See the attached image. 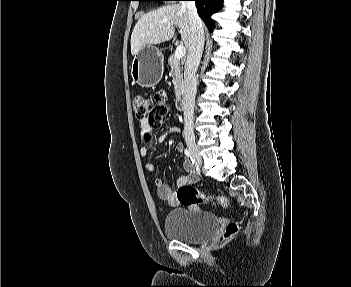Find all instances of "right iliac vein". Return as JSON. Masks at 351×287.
Returning <instances> with one entry per match:
<instances>
[{"mask_svg":"<svg viewBox=\"0 0 351 287\" xmlns=\"http://www.w3.org/2000/svg\"><path fill=\"white\" fill-rule=\"evenodd\" d=\"M186 144L189 148V150L192 152V154L194 155L196 161L198 162V164H200L202 162V158L199 152V149L195 143V140L193 138H188L186 139Z\"/></svg>","mask_w":351,"mask_h":287,"instance_id":"right-iliac-vein-1","label":"right iliac vein"}]
</instances>
